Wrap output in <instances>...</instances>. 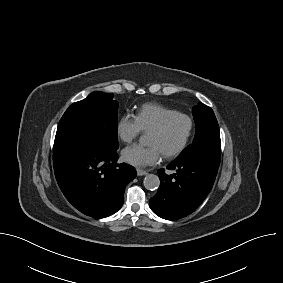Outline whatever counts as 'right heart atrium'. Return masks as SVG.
Returning a JSON list of instances; mask_svg holds the SVG:
<instances>
[{
	"mask_svg": "<svg viewBox=\"0 0 283 283\" xmlns=\"http://www.w3.org/2000/svg\"><path fill=\"white\" fill-rule=\"evenodd\" d=\"M116 132L124 143L133 142L142 132L136 117L126 113L119 117L116 123Z\"/></svg>",
	"mask_w": 283,
	"mask_h": 283,
	"instance_id": "right-heart-atrium-1",
	"label": "right heart atrium"
}]
</instances>
